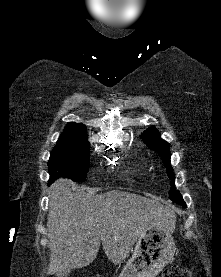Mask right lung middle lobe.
I'll use <instances>...</instances> for the list:
<instances>
[{"label":"right lung middle lobe","instance_id":"right-lung-middle-lobe-1","mask_svg":"<svg viewBox=\"0 0 221 277\" xmlns=\"http://www.w3.org/2000/svg\"><path fill=\"white\" fill-rule=\"evenodd\" d=\"M89 150L87 138H59L48 162V185L59 177L70 178L76 182L84 181L89 170Z\"/></svg>","mask_w":221,"mask_h":277}]
</instances>
